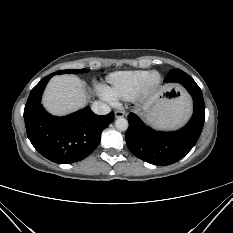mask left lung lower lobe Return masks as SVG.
I'll return each instance as SVG.
<instances>
[{
  "label": "left lung lower lobe",
  "mask_w": 233,
  "mask_h": 233,
  "mask_svg": "<svg viewBox=\"0 0 233 233\" xmlns=\"http://www.w3.org/2000/svg\"><path fill=\"white\" fill-rule=\"evenodd\" d=\"M184 86L194 101V113L180 130L160 132L146 126L134 113L128 115L126 143L133 155L148 163L166 166L183 158L196 144L205 121V104L196 82L180 69H173L164 79Z\"/></svg>",
  "instance_id": "obj_1"
}]
</instances>
